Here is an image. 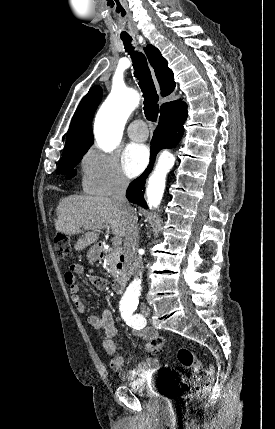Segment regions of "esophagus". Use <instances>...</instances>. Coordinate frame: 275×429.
<instances>
[{
  "label": "esophagus",
  "mask_w": 275,
  "mask_h": 429,
  "mask_svg": "<svg viewBox=\"0 0 275 429\" xmlns=\"http://www.w3.org/2000/svg\"><path fill=\"white\" fill-rule=\"evenodd\" d=\"M154 82H155L158 93H160V87H159L158 82L156 81L155 77H154Z\"/></svg>",
  "instance_id": "34e87169"
}]
</instances>
